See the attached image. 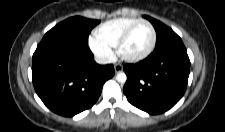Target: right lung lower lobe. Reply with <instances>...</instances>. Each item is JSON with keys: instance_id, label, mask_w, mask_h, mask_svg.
I'll use <instances>...</instances> for the list:
<instances>
[{"instance_id": "right-lung-lower-lobe-1", "label": "right lung lower lobe", "mask_w": 225, "mask_h": 132, "mask_svg": "<svg viewBox=\"0 0 225 132\" xmlns=\"http://www.w3.org/2000/svg\"><path fill=\"white\" fill-rule=\"evenodd\" d=\"M88 45L58 40L41 41L33 55L32 80L43 103L62 116L90 108L113 65H98Z\"/></svg>"}]
</instances>
